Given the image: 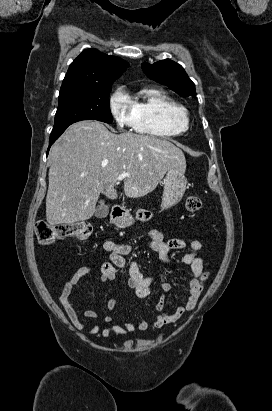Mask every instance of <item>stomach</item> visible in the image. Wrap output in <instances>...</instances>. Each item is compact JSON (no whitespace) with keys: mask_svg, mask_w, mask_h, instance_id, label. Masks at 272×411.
I'll use <instances>...</instances> for the list:
<instances>
[{"mask_svg":"<svg viewBox=\"0 0 272 411\" xmlns=\"http://www.w3.org/2000/svg\"><path fill=\"white\" fill-rule=\"evenodd\" d=\"M186 183L184 173L175 168L167 170L163 180L162 209L171 208L181 201L186 191ZM112 221L119 228L129 227L135 222L129 212H124L121 216L112 219Z\"/></svg>","mask_w":272,"mask_h":411,"instance_id":"obj_1","label":"stomach"}]
</instances>
